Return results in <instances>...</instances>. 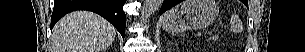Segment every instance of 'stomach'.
Instances as JSON below:
<instances>
[{"label":"stomach","instance_id":"1","mask_svg":"<svg viewBox=\"0 0 305 52\" xmlns=\"http://www.w3.org/2000/svg\"><path fill=\"white\" fill-rule=\"evenodd\" d=\"M218 14L215 0H185L164 14L162 24L167 31L182 33L207 27L216 20Z\"/></svg>","mask_w":305,"mask_h":52}]
</instances>
